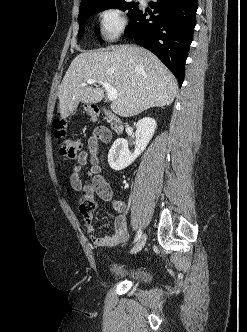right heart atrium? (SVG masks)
<instances>
[{
    "mask_svg": "<svg viewBox=\"0 0 247 332\" xmlns=\"http://www.w3.org/2000/svg\"><path fill=\"white\" fill-rule=\"evenodd\" d=\"M101 35L106 41H114L125 31L127 19L123 10L116 6H109L99 13Z\"/></svg>",
    "mask_w": 247,
    "mask_h": 332,
    "instance_id": "obj_1",
    "label": "right heart atrium"
}]
</instances>
